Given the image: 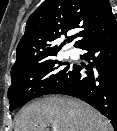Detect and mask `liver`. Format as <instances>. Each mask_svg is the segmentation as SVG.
Listing matches in <instances>:
<instances>
[{
  "instance_id": "1",
  "label": "liver",
  "mask_w": 117,
  "mask_h": 131,
  "mask_svg": "<svg viewBox=\"0 0 117 131\" xmlns=\"http://www.w3.org/2000/svg\"><path fill=\"white\" fill-rule=\"evenodd\" d=\"M111 131L109 121L83 101L48 96L23 108L16 121L15 131ZM54 131V130H53Z\"/></svg>"
}]
</instances>
